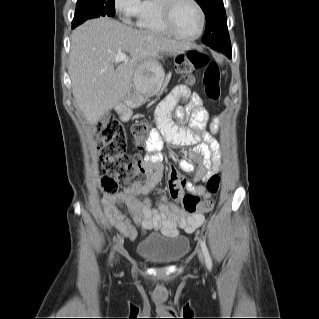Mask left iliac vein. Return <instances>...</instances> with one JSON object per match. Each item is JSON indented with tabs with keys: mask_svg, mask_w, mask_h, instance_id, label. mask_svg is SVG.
<instances>
[{
	"mask_svg": "<svg viewBox=\"0 0 319 319\" xmlns=\"http://www.w3.org/2000/svg\"><path fill=\"white\" fill-rule=\"evenodd\" d=\"M199 259H200L201 261H203V256H202V253H201V252H199Z\"/></svg>",
	"mask_w": 319,
	"mask_h": 319,
	"instance_id": "left-iliac-vein-1",
	"label": "left iliac vein"
}]
</instances>
